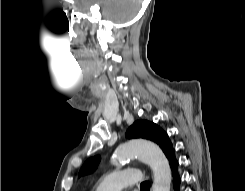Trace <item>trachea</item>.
Wrapping results in <instances>:
<instances>
[{
  "label": "trachea",
  "mask_w": 245,
  "mask_h": 191,
  "mask_svg": "<svg viewBox=\"0 0 245 191\" xmlns=\"http://www.w3.org/2000/svg\"><path fill=\"white\" fill-rule=\"evenodd\" d=\"M140 189H141V191H146V190L150 189V183L147 181L141 183Z\"/></svg>",
  "instance_id": "trachea-1"
}]
</instances>
